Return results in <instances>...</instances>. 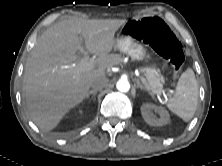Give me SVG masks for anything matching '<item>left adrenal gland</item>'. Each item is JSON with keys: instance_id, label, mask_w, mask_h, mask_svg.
Masks as SVG:
<instances>
[{"instance_id": "obj_1", "label": "left adrenal gland", "mask_w": 222, "mask_h": 166, "mask_svg": "<svg viewBox=\"0 0 222 166\" xmlns=\"http://www.w3.org/2000/svg\"><path fill=\"white\" fill-rule=\"evenodd\" d=\"M136 82H137V88H140L141 90H146L149 92L147 87H145L139 80H136Z\"/></svg>"}]
</instances>
